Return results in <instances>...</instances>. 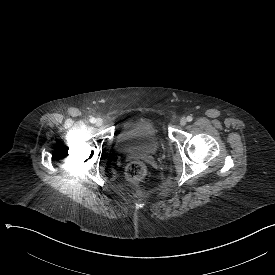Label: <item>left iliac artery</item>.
Here are the masks:
<instances>
[{
	"label": "left iliac artery",
	"instance_id": "44dca946",
	"mask_svg": "<svg viewBox=\"0 0 275 275\" xmlns=\"http://www.w3.org/2000/svg\"><path fill=\"white\" fill-rule=\"evenodd\" d=\"M192 120H193V118H192L191 116H188V117H187V121H188V122H191Z\"/></svg>",
	"mask_w": 275,
	"mask_h": 275
}]
</instances>
